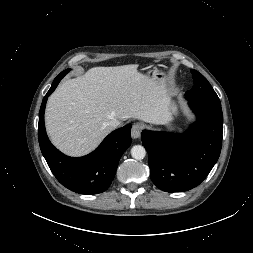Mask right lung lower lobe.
I'll return each mask as SVG.
<instances>
[{"mask_svg": "<svg viewBox=\"0 0 253 253\" xmlns=\"http://www.w3.org/2000/svg\"><path fill=\"white\" fill-rule=\"evenodd\" d=\"M63 76H57L45 95L40 112L38 139L41 152L57 180L79 194H98L108 189L114 179L119 160L131 144V124L109 134L96 150L84 157H69L49 141L44 125V111L48 96Z\"/></svg>", "mask_w": 253, "mask_h": 253, "instance_id": "right-lung-lower-lobe-1", "label": "right lung lower lobe"}]
</instances>
